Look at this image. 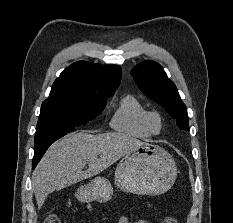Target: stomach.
Masks as SVG:
<instances>
[{
    "mask_svg": "<svg viewBox=\"0 0 233 223\" xmlns=\"http://www.w3.org/2000/svg\"><path fill=\"white\" fill-rule=\"evenodd\" d=\"M177 167L173 157L160 145L143 143L123 155L115 167L116 187L137 195H161L173 185ZM78 201L105 203L113 195V187L107 177H94L74 193Z\"/></svg>",
    "mask_w": 233,
    "mask_h": 223,
    "instance_id": "1",
    "label": "stomach"
}]
</instances>
